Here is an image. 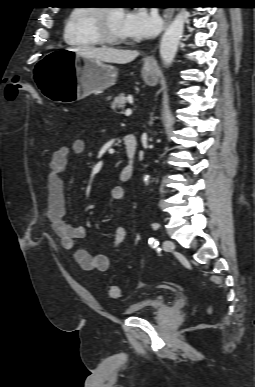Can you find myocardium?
I'll return each instance as SVG.
<instances>
[{
    "label": "myocardium",
    "instance_id": "myocardium-1",
    "mask_svg": "<svg viewBox=\"0 0 255 387\" xmlns=\"http://www.w3.org/2000/svg\"><path fill=\"white\" fill-rule=\"evenodd\" d=\"M111 7L96 8L94 13V29L103 44L121 45L125 44L127 38L115 35L110 28L109 17L112 10Z\"/></svg>",
    "mask_w": 255,
    "mask_h": 387
}]
</instances>
